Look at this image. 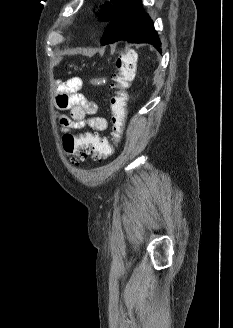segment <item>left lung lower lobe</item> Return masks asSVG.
Listing matches in <instances>:
<instances>
[{
    "label": "left lung lower lobe",
    "mask_w": 233,
    "mask_h": 328,
    "mask_svg": "<svg viewBox=\"0 0 233 328\" xmlns=\"http://www.w3.org/2000/svg\"><path fill=\"white\" fill-rule=\"evenodd\" d=\"M118 40L130 43H149L161 52V42L148 14L143 12L141 0H129L119 14L109 22L101 44H111Z\"/></svg>",
    "instance_id": "obj_1"
}]
</instances>
